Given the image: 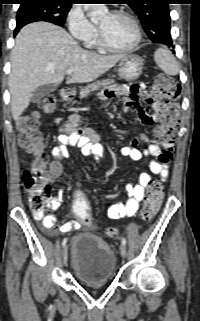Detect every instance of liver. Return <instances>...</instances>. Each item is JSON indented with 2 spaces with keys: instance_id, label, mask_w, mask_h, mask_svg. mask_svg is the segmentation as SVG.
<instances>
[{
  "instance_id": "6515ba94",
  "label": "liver",
  "mask_w": 200,
  "mask_h": 321,
  "mask_svg": "<svg viewBox=\"0 0 200 321\" xmlns=\"http://www.w3.org/2000/svg\"><path fill=\"white\" fill-rule=\"evenodd\" d=\"M124 55H99L82 49L61 27L48 22L26 25L11 52L9 90L16 121L29 106L33 92L46 84H59L67 69V83H89L114 67Z\"/></svg>"
}]
</instances>
